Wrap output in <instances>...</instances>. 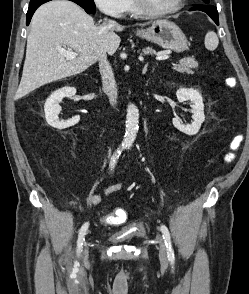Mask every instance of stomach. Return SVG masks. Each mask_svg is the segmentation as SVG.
<instances>
[{
    "mask_svg": "<svg viewBox=\"0 0 249 294\" xmlns=\"http://www.w3.org/2000/svg\"><path fill=\"white\" fill-rule=\"evenodd\" d=\"M136 34L142 39L178 53L188 48V41L183 31L168 20L155 21L151 27L138 30Z\"/></svg>",
    "mask_w": 249,
    "mask_h": 294,
    "instance_id": "obj_1",
    "label": "stomach"
}]
</instances>
